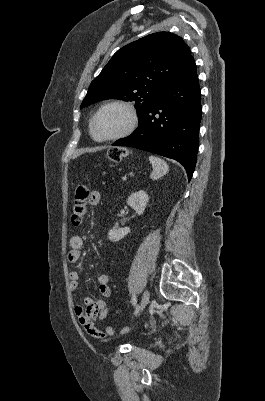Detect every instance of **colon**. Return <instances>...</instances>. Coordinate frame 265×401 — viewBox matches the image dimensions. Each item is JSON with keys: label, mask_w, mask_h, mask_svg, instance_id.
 Here are the masks:
<instances>
[{"label": "colon", "mask_w": 265, "mask_h": 401, "mask_svg": "<svg viewBox=\"0 0 265 401\" xmlns=\"http://www.w3.org/2000/svg\"><path fill=\"white\" fill-rule=\"evenodd\" d=\"M128 155V151L123 148L114 147L108 150L107 159L111 162H119ZM90 197V191L86 184H79L74 193V206L71 215L73 225L77 226L82 222L86 204ZM86 331L93 337L101 339L108 335H114L117 331L112 327H107L105 331L97 329L91 323L86 325Z\"/></svg>", "instance_id": "5ec220e1"}]
</instances>
